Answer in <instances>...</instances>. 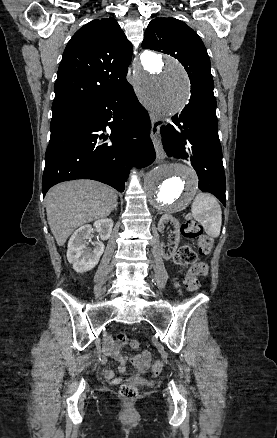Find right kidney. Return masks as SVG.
<instances>
[{"label":"right kidney","instance_id":"obj_1","mask_svg":"<svg viewBox=\"0 0 277 438\" xmlns=\"http://www.w3.org/2000/svg\"><path fill=\"white\" fill-rule=\"evenodd\" d=\"M94 226L97 228L101 240H108V238H110L113 220H110V218L96 220ZM91 232H93V228L90 224L81 226V228H78V230L72 234L68 242L67 260L69 264H73V270L79 272V274L95 268L105 250L103 242H99V240L98 242H91L94 246L92 250L91 248H87L89 244L87 240H89Z\"/></svg>","mask_w":277,"mask_h":438}]
</instances>
